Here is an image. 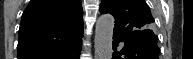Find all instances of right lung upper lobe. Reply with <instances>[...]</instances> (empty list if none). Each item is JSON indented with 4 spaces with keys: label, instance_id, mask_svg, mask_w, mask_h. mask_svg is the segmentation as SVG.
<instances>
[{
    "label": "right lung upper lobe",
    "instance_id": "1",
    "mask_svg": "<svg viewBox=\"0 0 193 59\" xmlns=\"http://www.w3.org/2000/svg\"><path fill=\"white\" fill-rule=\"evenodd\" d=\"M82 37L81 0H31L21 19L17 59H45Z\"/></svg>",
    "mask_w": 193,
    "mask_h": 59
}]
</instances>
